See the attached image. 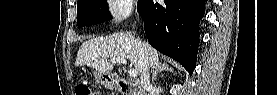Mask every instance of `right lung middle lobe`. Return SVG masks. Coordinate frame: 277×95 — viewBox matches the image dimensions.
<instances>
[{"label": "right lung middle lobe", "instance_id": "dd1d6c3e", "mask_svg": "<svg viewBox=\"0 0 277 95\" xmlns=\"http://www.w3.org/2000/svg\"><path fill=\"white\" fill-rule=\"evenodd\" d=\"M107 0H80L77 3V25L79 28L101 23L111 17Z\"/></svg>", "mask_w": 277, "mask_h": 95}]
</instances>
